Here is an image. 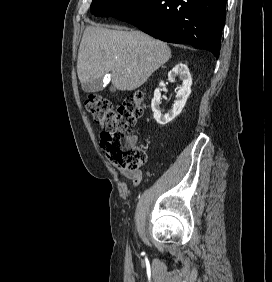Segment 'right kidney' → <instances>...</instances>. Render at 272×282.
Returning <instances> with one entry per match:
<instances>
[{
    "instance_id": "ca27d5eb",
    "label": "right kidney",
    "mask_w": 272,
    "mask_h": 282,
    "mask_svg": "<svg viewBox=\"0 0 272 282\" xmlns=\"http://www.w3.org/2000/svg\"><path fill=\"white\" fill-rule=\"evenodd\" d=\"M176 77H179L182 80V84L177 87V100L168 113L163 114L160 110V104L162 100L160 88H157L154 91V97L151 102V107L154 119L160 125H166L181 113L191 93L192 78L186 64L179 63L168 73L169 81H175ZM159 86L164 87L165 83L161 81L159 83Z\"/></svg>"
}]
</instances>
